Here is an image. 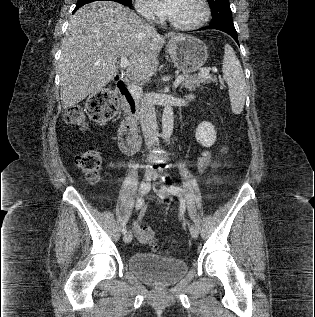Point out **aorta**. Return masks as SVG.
<instances>
[{
  "instance_id": "762f6f07",
  "label": "aorta",
  "mask_w": 315,
  "mask_h": 317,
  "mask_svg": "<svg viewBox=\"0 0 315 317\" xmlns=\"http://www.w3.org/2000/svg\"><path fill=\"white\" fill-rule=\"evenodd\" d=\"M174 114L170 104L165 105L162 115V137L169 140L173 132Z\"/></svg>"
}]
</instances>
